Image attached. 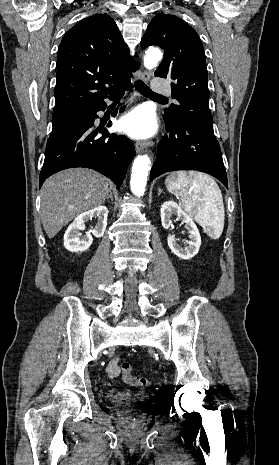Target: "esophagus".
<instances>
[{"mask_svg": "<svg viewBox=\"0 0 279 465\" xmlns=\"http://www.w3.org/2000/svg\"><path fill=\"white\" fill-rule=\"evenodd\" d=\"M150 77H151V73L148 70L143 71L141 76H140V78L143 81H146V82L149 81ZM151 145H152L151 141L136 142L135 143V149L139 153V152H142L145 148L150 147Z\"/></svg>", "mask_w": 279, "mask_h": 465, "instance_id": "obj_1", "label": "esophagus"}]
</instances>
